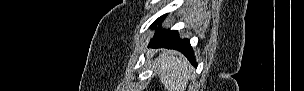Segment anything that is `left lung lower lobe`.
<instances>
[{"mask_svg": "<svg viewBox=\"0 0 304 91\" xmlns=\"http://www.w3.org/2000/svg\"><path fill=\"white\" fill-rule=\"evenodd\" d=\"M166 14L159 17L151 26L152 29L156 28L158 24H161L165 19ZM150 45L154 48H167L174 49L183 53L190 62L196 67L195 57L192 51V47L188 39H180L177 30H159L150 42Z\"/></svg>", "mask_w": 304, "mask_h": 91, "instance_id": "obj_1", "label": "left lung lower lobe"}]
</instances>
